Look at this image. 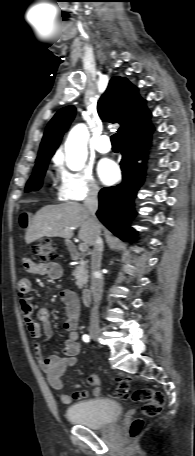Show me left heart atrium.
Segmentation results:
<instances>
[{
  "label": "left heart atrium",
  "mask_w": 195,
  "mask_h": 456,
  "mask_svg": "<svg viewBox=\"0 0 195 456\" xmlns=\"http://www.w3.org/2000/svg\"><path fill=\"white\" fill-rule=\"evenodd\" d=\"M97 173L104 184L114 183L119 175V169L116 163L110 159H102L97 166Z\"/></svg>",
  "instance_id": "1"
}]
</instances>
